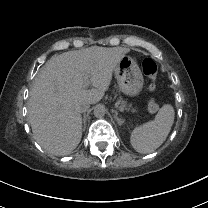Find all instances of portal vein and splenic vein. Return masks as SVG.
Returning <instances> with one entry per match:
<instances>
[{
    "mask_svg": "<svg viewBox=\"0 0 208 208\" xmlns=\"http://www.w3.org/2000/svg\"><path fill=\"white\" fill-rule=\"evenodd\" d=\"M89 84H90V83H87L85 87H86V88L89 87ZM115 108H116L118 111H120V112H124V108L121 107L119 104H116V105H115Z\"/></svg>",
    "mask_w": 208,
    "mask_h": 208,
    "instance_id": "18ae733b",
    "label": "portal vein and splenic vein"
}]
</instances>
